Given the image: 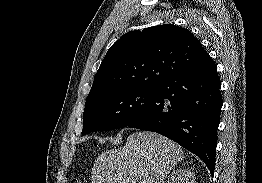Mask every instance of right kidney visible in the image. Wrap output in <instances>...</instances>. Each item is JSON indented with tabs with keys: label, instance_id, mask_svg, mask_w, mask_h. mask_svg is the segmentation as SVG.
<instances>
[{
	"label": "right kidney",
	"instance_id": "right-kidney-1",
	"mask_svg": "<svg viewBox=\"0 0 262 183\" xmlns=\"http://www.w3.org/2000/svg\"><path fill=\"white\" fill-rule=\"evenodd\" d=\"M167 183H196L195 174L190 169L174 170Z\"/></svg>",
	"mask_w": 262,
	"mask_h": 183
}]
</instances>
